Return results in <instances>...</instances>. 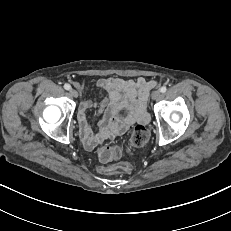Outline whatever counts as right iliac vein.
<instances>
[{
  "label": "right iliac vein",
  "instance_id": "obj_1",
  "mask_svg": "<svg viewBox=\"0 0 231 231\" xmlns=\"http://www.w3.org/2000/svg\"><path fill=\"white\" fill-rule=\"evenodd\" d=\"M70 95L74 98L78 97V92L75 89H70Z\"/></svg>",
  "mask_w": 231,
  "mask_h": 231
}]
</instances>
